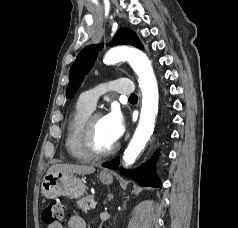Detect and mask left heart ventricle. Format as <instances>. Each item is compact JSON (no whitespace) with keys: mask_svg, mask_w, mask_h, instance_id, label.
<instances>
[{"mask_svg":"<svg viewBox=\"0 0 238 228\" xmlns=\"http://www.w3.org/2000/svg\"><path fill=\"white\" fill-rule=\"evenodd\" d=\"M93 139L94 145L99 151H106L116 143L109 135L103 117L96 119L94 123Z\"/></svg>","mask_w":238,"mask_h":228,"instance_id":"1","label":"left heart ventricle"}]
</instances>
